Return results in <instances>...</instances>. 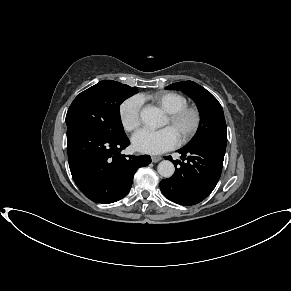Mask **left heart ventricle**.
Returning a JSON list of instances; mask_svg holds the SVG:
<instances>
[{
  "label": "left heart ventricle",
  "instance_id": "b2bd125f",
  "mask_svg": "<svg viewBox=\"0 0 291 291\" xmlns=\"http://www.w3.org/2000/svg\"><path fill=\"white\" fill-rule=\"evenodd\" d=\"M164 126L170 127L178 139H180L185 133L189 131L192 125V118L186 117L183 120H181L179 123L175 125H171L168 118L165 119V122L163 124Z\"/></svg>",
  "mask_w": 291,
  "mask_h": 291
}]
</instances>
